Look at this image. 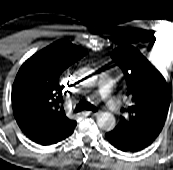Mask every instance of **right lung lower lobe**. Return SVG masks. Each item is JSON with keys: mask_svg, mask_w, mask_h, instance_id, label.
<instances>
[{"mask_svg": "<svg viewBox=\"0 0 173 170\" xmlns=\"http://www.w3.org/2000/svg\"><path fill=\"white\" fill-rule=\"evenodd\" d=\"M74 129L70 132H68L65 136L61 137L60 139L56 140V141H53V142H50V143H47V144H43L44 146L45 145H51V144H55L61 140H64L65 138H67L68 136H70L72 133H73ZM42 145V144H41Z\"/></svg>", "mask_w": 173, "mask_h": 170, "instance_id": "1", "label": "right lung lower lobe"}]
</instances>
